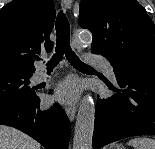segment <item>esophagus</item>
<instances>
[{
  "mask_svg": "<svg viewBox=\"0 0 155 149\" xmlns=\"http://www.w3.org/2000/svg\"><path fill=\"white\" fill-rule=\"evenodd\" d=\"M72 1L71 0H61V6L64 10H69L71 8ZM67 116L70 121H73L76 115V106L70 105L66 108Z\"/></svg>",
  "mask_w": 155,
  "mask_h": 149,
  "instance_id": "34e87169",
  "label": "esophagus"
}]
</instances>
